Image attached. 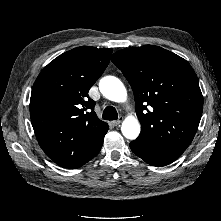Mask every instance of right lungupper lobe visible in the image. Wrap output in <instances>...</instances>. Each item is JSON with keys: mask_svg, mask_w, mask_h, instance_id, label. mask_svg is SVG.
Masks as SVG:
<instances>
[{"mask_svg": "<svg viewBox=\"0 0 221 221\" xmlns=\"http://www.w3.org/2000/svg\"><path fill=\"white\" fill-rule=\"evenodd\" d=\"M112 48L82 46L51 61L37 77L30 116L45 154L65 168H79L94 158L108 131L99 120L88 91L107 67Z\"/></svg>", "mask_w": 221, "mask_h": 221, "instance_id": "obj_1", "label": "right lung upper lobe"}]
</instances>
